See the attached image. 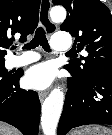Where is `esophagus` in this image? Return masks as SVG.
Returning <instances> with one entry per match:
<instances>
[{"instance_id":"obj_1","label":"esophagus","mask_w":112,"mask_h":135,"mask_svg":"<svg viewBox=\"0 0 112 135\" xmlns=\"http://www.w3.org/2000/svg\"><path fill=\"white\" fill-rule=\"evenodd\" d=\"M43 1H46L47 6L42 9V2ZM50 8H51V1L50 0H42L41 1L39 17H40V21H41L43 27L46 28L48 33H51L56 29V25L51 22L50 17H49ZM46 96H47V92H40L39 93L40 102H43L44 99L46 98Z\"/></svg>"}]
</instances>
